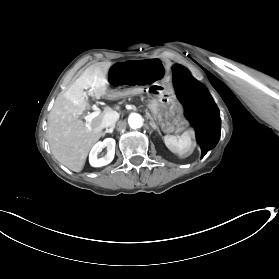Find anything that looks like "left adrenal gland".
<instances>
[{
	"label": "left adrenal gland",
	"instance_id": "1",
	"mask_svg": "<svg viewBox=\"0 0 279 279\" xmlns=\"http://www.w3.org/2000/svg\"><path fill=\"white\" fill-rule=\"evenodd\" d=\"M148 116H149V118L151 119V121L153 122L152 116H151L150 114H148ZM154 128H155V130H156L158 133H160L159 130H158L156 127H154Z\"/></svg>",
	"mask_w": 279,
	"mask_h": 279
}]
</instances>
